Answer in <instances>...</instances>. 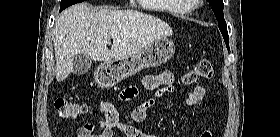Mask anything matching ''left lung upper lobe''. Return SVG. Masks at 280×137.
I'll use <instances>...</instances> for the list:
<instances>
[{"label":"left lung upper lobe","instance_id":"1","mask_svg":"<svg viewBox=\"0 0 280 137\" xmlns=\"http://www.w3.org/2000/svg\"><path fill=\"white\" fill-rule=\"evenodd\" d=\"M207 1L212 6V10L218 21L219 29L224 38L226 47L229 50V37H228L227 25L223 15V8H224L223 1L222 0H207Z\"/></svg>","mask_w":280,"mask_h":137}]
</instances>
